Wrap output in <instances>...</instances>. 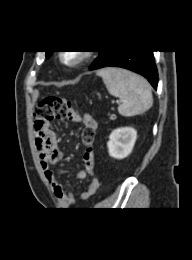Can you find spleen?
<instances>
[{"instance_id": "spleen-1", "label": "spleen", "mask_w": 192, "mask_h": 260, "mask_svg": "<svg viewBox=\"0 0 192 260\" xmlns=\"http://www.w3.org/2000/svg\"><path fill=\"white\" fill-rule=\"evenodd\" d=\"M108 92L121 99L118 112L125 117L141 115L153 105L151 87L146 79L125 69L103 68L97 71Z\"/></svg>"}]
</instances>
